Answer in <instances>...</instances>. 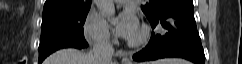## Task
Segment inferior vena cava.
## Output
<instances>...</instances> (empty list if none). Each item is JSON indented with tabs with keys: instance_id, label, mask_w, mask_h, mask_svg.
Wrapping results in <instances>:
<instances>
[{
	"instance_id": "1",
	"label": "inferior vena cava",
	"mask_w": 242,
	"mask_h": 64,
	"mask_svg": "<svg viewBox=\"0 0 242 64\" xmlns=\"http://www.w3.org/2000/svg\"><path fill=\"white\" fill-rule=\"evenodd\" d=\"M114 49L108 40L97 41L93 46L94 58L97 64H110Z\"/></svg>"
}]
</instances>
